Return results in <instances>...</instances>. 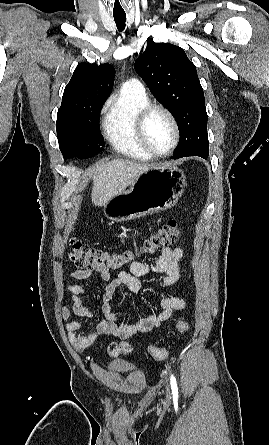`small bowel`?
<instances>
[{"instance_id":"1","label":"small bowel","mask_w":269,"mask_h":445,"mask_svg":"<svg viewBox=\"0 0 269 445\" xmlns=\"http://www.w3.org/2000/svg\"><path fill=\"white\" fill-rule=\"evenodd\" d=\"M183 257L181 248H165L153 264H145L133 261L127 266V270L121 271L115 278L110 279V273L101 271L98 279L105 282L102 295V304L99 310L102 317H96L90 307L82 299L88 292V286L71 284L68 291L72 299V312L82 318L94 319L95 328L87 327L80 321H69L70 310L67 307L62 309V317L66 321V331L69 341L73 347L81 352L96 344L97 336L100 334L117 336L121 339H128L137 334L148 333L160 327L168 320L174 312L183 310L186 302L177 296H165L158 301L160 311L148 313L137 320L127 323L117 319L112 310L111 302L115 292L125 287L132 293H138L143 289V278L148 276H160L161 286L168 288L174 285L180 278L179 262ZM91 270H72L69 275L77 280L87 279L92 275ZM84 330L85 333H78Z\"/></svg>"}]
</instances>
